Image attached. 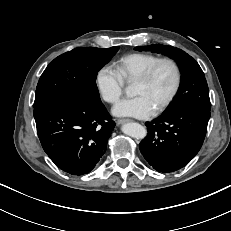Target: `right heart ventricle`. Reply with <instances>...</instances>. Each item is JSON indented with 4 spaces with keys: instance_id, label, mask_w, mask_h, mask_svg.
Masks as SVG:
<instances>
[{
    "instance_id": "1",
    "label": "right heart ventricle",
    "mask_w": 231,
    "mask_h": 231,
    "mask_svg": "<svg viewBox=\"0 0 231 231\" xmlns=\"http://www.w3.org/2000/svg\"><path fill=\"white\" fill-rule=\"evenodd\" d=\"M159 59V56L151 53H130L118 59L114 63V68L124 81H132Z\"/></svg>"
}]
</instances>
